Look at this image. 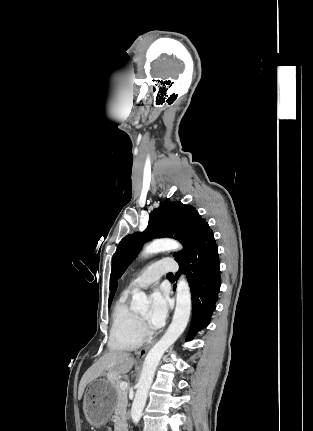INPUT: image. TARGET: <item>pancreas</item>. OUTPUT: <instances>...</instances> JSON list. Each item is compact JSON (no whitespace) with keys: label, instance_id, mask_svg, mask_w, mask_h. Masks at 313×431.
Returning a JSON list of instances; mask_svg holds the SVG:
<instances>
[{"label":"pancreas","instance_id":"1","mask_svg":"<svg viewBox=\"0 0 313 431\" xmlns=\"http://www.w3.org/2000/svg\"><path fill=\"white\" fill-rule=\"evenodd\" d=\"M113 382H114L115 391H116V406L114 408V411H115L114 421H115L116 429L119 430L123 425L126 424V417H127L126 408L128 404V399H127L128 391L127 389L123 390L120 388L119 384L121 381L118 377L114 378Z\"/></svg>","mask_w":313,"mask_h":431}]
</instances>
